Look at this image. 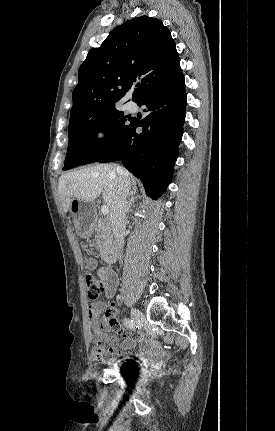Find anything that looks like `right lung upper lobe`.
Masks as SVG:
<instances>
[{"label":"right lung upper lobe","mask_w":275,"mask_h":431,"mask_svg":"<svg viewBox=\"0 0 275 431\" xmlns=\"http://www.w3.org/2000/svg\"><path fill=\"white\" fill-rule=\"evenodd\" d=\"M180 59L169 29L161 20L141 16L115 28L99 48L89 51L78 71L70 122L114 107L136 80L132 100L168 82Z\"/></svg>","instance_id":"cb5924a9"}]
</instances>
